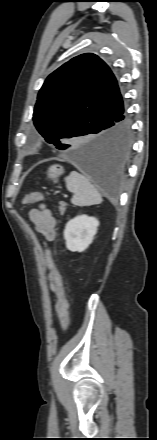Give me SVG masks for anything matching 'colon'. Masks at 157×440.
I'll use <instances>...</instances> for the list:
<instances>
[{
  "label": "colon",
  "mask_w": 157,
  "mask_h": 440,
  "mask_svg": "<svg viewBox=\"0 0 157 440\" xmlns=\"http://www.w3.org/2000/svg\"><path fill=\"white\" fill-rule=\"evenodd\" d=\"M43 200V195L39 192L28 193L24 197L25 204H33ZM47 261L51 270L52 277L57 286V304L56 309L59 314L63 330H67L69 326L68 300L65 288V282L58 264L55 262L51 249L47 248Z\"/></svg>",
  "instance_id": "obj_1"
}]
</instances>
